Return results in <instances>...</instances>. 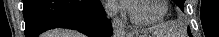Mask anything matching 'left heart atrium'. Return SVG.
I'll list each match as a JSON object with an SVG mask.
<instances>
[{"instance_id": "obj_1", "label": "left heart atrium", "mask_w": 219, "mask_h": 37, "mask_svg": "<svg viewBox=\"0 0 219 37\" xmlns=\"http://www.w3.org/2000/svg\"><path fill=\"white\" fill-rule=\"evenodd\" d=\"M122 4L125 6V7H129L131 6L132 4V1L131 0H121Z\"/></svg>"}]
</instances>
